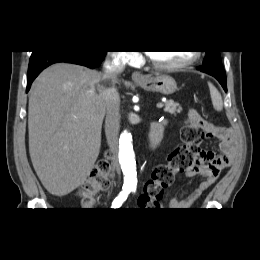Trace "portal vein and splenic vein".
Returning <instances> with one entry per match:
<instances>
[{
	"label": "portal vein and splenic vein",
	"mask_w": 260,
	"mask_h": 260,
	"mask_svg": "<svg viewBox=\"0 0 260 260\" xmlns=\"http://www.w3.org/2000/svg\"><path fill=\"white\" fill-rule=\"evenodd\" d=\"M163 106H164L163 103H158V104H157V107H158V108H162Z\"/></svg>",
	"instance_id": "1"
}]
</instances>
